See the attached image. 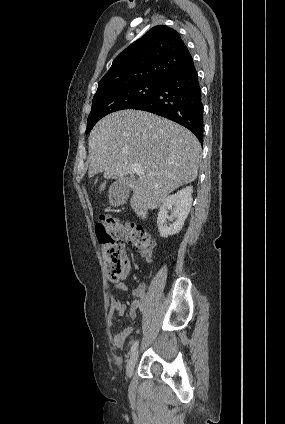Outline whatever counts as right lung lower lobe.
<instances>
[{
  "instance_id": "98d812e1",
  "label": "right lung lower lobe",
  "mask_w": 285,
  "mask_h": 424,
  "mask_svg": "<svg viewBox=\"0 0 285 424\" xmlns=\"http://www.w3.org/2000/svg\"><path fill=\"white\" fill-rule=\"evenodd\" d=\"M130 109L148 111L177 122L193 132L203 144V104L193 62L163 81L159 90L152 96Z\"/></svg>"
}]
</instances>
